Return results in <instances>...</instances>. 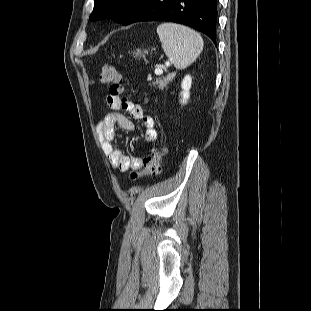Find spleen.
Returning <instances> with one entry per match:
<instances>
[{"label":"spleen","mask_w":311,"mask_h":311,"mask_svg":"<svg viewBox=\"0 0 311 311\" xmlns=\"http://www.w3.org/2000/svg\"><path fill=\"white\" fill-rule=\"evenodd\" d=\"M157 34L165 54L177 69H184L195 61L203 50V39L189 27L176 23H162Z\"/></svg>","instance_id":"1"}]
</instances>
